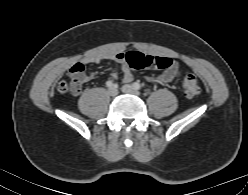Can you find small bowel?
Listing matches in <instances>:
<instances>
[{
	"mask_svg": "<svg viewBox=\"0 0 248 195\" xmlns=\"http://www.w3.org/2000/svg\"><path fill=\"white\" fill-rule=\"evenodd\" d=\"M122 54L123 53L120 52V53H116L113 55L96 54V55H91V56L85 57L80 63L73 65L70 68L69 72H72L77 67H81L84 69V65H87V64L99 63L103 60H112V61H115V62L122 64V81L124 83H130L133 80V75H132L130 69L124 64L123 59L120 58V56ZM179 74H180V66L177 62H173L171 67L164 70L160 75H158L157 77L148 76L147 80L157 82V83H167V82L172 81ZM83 75H84V81H89L93 78L94 73H85L84 72Z\"/></svg>",
	"mask_w": 248,
	"mask_h": 195,
	"instance_id": "c3829d8e",
	"label": "small bowel"
}]
</instances>
